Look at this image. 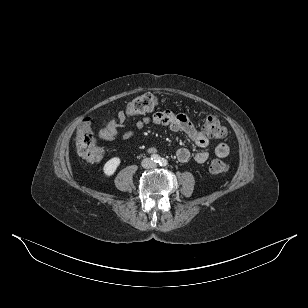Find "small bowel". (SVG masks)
I'll list each match as a JSON object with an SVG mask.
<instances>
[{"label":"small bowel","mask_w":308,"mask_h":308,"mask_svg":"<svg viewBox=\"0 0 308 308\" xmlns=\"http://www.w3.org/2000/svg\"><path fill=\"white\" fill-rule=\"evenodd\" d=\"M112 119L118 121V130L125 128L128 124V119L121 111L117 114L116 117H113L110 120ZM150 123L159 126H166L173 132L185 134L199 148H206L209 144L207 136L202 131L197 130L185 114H175L170 110L158 111L152 115L144 116L143 118L134 121L132 123L133 129L125 130L121 134V138L124 140L132 138L135 135L136 130H140L145 125ZM228 153L229 147L225 143H219L215 148V154L218 157L224 158L228 155ZM190 156L191 153L186 148H180L176 152V157L180 162H187L190 159ZM193 157L197 163H204L207 161L209 154L204 150H200L195 152Z\"/></svg>","instance_id":"1"}]
</instances>
